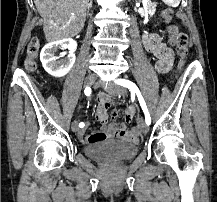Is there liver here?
Instances as JSON below:
<instances>
[{
  "instance_id": "6515ba94",
  "label": "liver",
  "mask_w": 217,
  "mask_h": 202,
  "mask_svg": "<svg viewBox=\"0 0 217 202\" xmlns=\"http://www.w3.org/2000/svg\"><path fill=\"white\" fill-rule=\"evenodd\" d=\"M88 2L89 0H34L43 18V32L47 42H59L77 36L84 28Z\"/></svg>"
}]
</instances>
